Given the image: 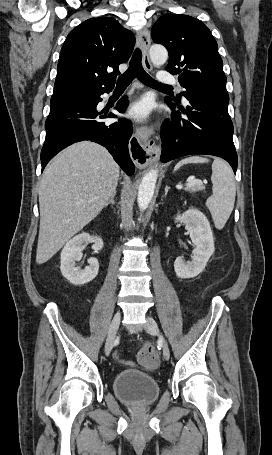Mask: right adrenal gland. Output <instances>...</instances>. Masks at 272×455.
<instances>
[{"label":"right adrenal gland","instance_id":"obj_1","mask_svg":"<svg viewBox=\"0 0 272 455\" xmlns=\"http://www.w3.org/2000/svg\"><path fill=\"white\" fill-rule=\"evenodd\" d=\"M115 196H116V191L113 193V195L111 196L110 200L106 203L105 207H107L110 204H112V205L115 204V201H114V197Z\"/></svg>","mask_w":272,"mask_h":455}]
</instances>
